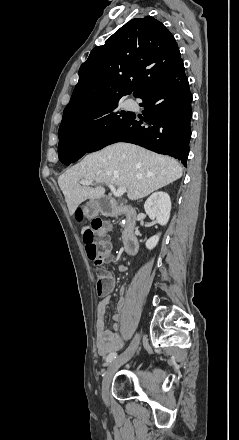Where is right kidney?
Masks as SVG:
<instances>
[{
  "instance_id": "obj_1",
  "label": "right kidney",
  "mask_w": 239,
  "mask_h": 440,
  "mask_svg": "<svg viewBox=\"0 0 239 440\" xmlns=\"http://www.w3.org/2000/svg\"><path fill=\"white\" fill-rule=\"evenodd\" d=\"M145 212L150 220H155L156 224L166 226L170 218L171 200L166 192H154L144 204ZM160 234L152 236L146 242V248L153 250L159 242Z\"/></svg>"
}]
</instances>
